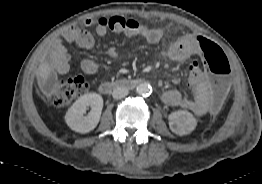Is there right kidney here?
<instances>
[{
  "label": "right kidney",
  "mask_w": 262,
  "mask_h": 184,
  "mask_svg": "<svg viewBox=\"0 0 262 184\" xmlns=\"http://www.w3.org/2000/svg\"><path fill=\"white\" fill-rule=\"evenodd\" d=\"M91 111L84 115L88 107ZM103 108L102 96L97 93H89L81 96L68 109L65 115L67 125L79 133H88L98 124Z\"/></svg>",
  "instance_id": "right-kidney-1"
}]
</instances>
